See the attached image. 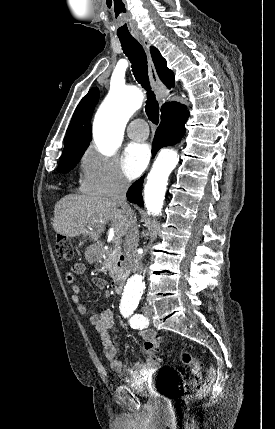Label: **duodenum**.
I'll return each mask as SVG.
<instances>
[{
  "mask_svg": "<svg viewBox=\"0 0 275 429\" xmlns=\"http://www.w3.org/2000/svg\"><path fill=\"white\" fill-rule=\"evenodd\" d=\"M98 250L101 252L102 247L98 246ZM123 285H124V277L123 276H118L112 282V288H113L114 292H116L118 294L122 292Z\"/></svg>",
  "mask_w": 275,
  "mask_h": 429,
  "instance_id": "duodenum-1",
  "label": "duodenum"
}]
</instances>
